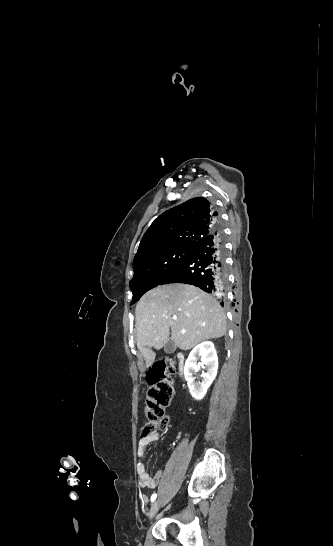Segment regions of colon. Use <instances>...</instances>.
Returning <instances> with one entry per match:
<instances>
[{"mask_svg":"<svg viewBox=\"0 0 333 546\" xmlns=\"http://www.w3.org/2000/svg\"><path fill=\"white\" fill-rule=\"evenodd\" d=\"M174 365L170 360H160L153 364L147 372L149 389L145 400L146 422L143 427L144 437L153 434L157 429L165 430L169 421L165 410L174 396V382L171 374Z\"/></svg>","mask_w":333,"mask_h":546,"instance_id":"1","label":"colon"}]
</instances>
